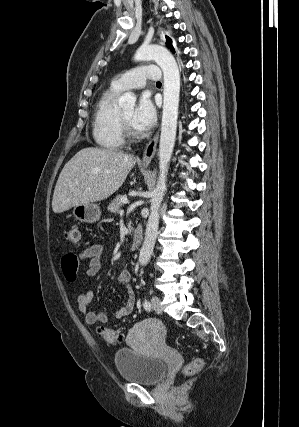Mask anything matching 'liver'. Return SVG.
I'll use <instances>...</instances> for the list:
<instances>
[{
	"instance_id": "obj_1",
	"label": "liver",
	"mask_w": 299,
	"mask_h": 427,
	"mask_svg": "<svg viewBox=\"0 0 299 427\" xmlns=\"http://www.w3.org/2000/svg\"><path fill=\"white\" fill-rule=\"evenodd\" d=\"M135 163L133 155L116 150H80L59 175L52 200L54 213L107 199L121 187Z\"/></svg>"
}]
</instances>
